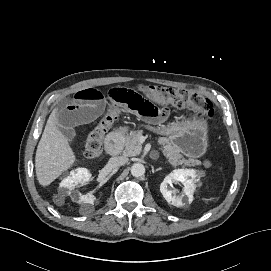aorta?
<instances>
[{
  "label": "aorta",
  "mask_w": 271,
  "mask_h": 271,
  "mask_svg": "<svg viewBox=\"0 0 271 271\" xmlns=\"http://www.w3.org/2000/svg\"><path fill=\"white\" fill-rule=\"evenodd\" d=\"M131 174L134 177H141L145 174V167L142 163H134L131 166Z\"/></svg>",
  "instance_id": "obj_1"
}]
</instances>
